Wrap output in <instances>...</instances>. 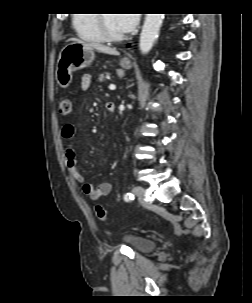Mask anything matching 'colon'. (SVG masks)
<instances>
[{"label":"colon","instance_id":"1","mask_svg":"<svg viewBox=\"0 0 252 303\" xmlns=\"http://www.w3.org/2000/svg\"><path fill=\"white\" fill-rule=\"evenodd\" d=\"M72 101L67 98V97H63L61 100H60V103H59V110H60V113L64 116H67L69 115L71 112H72ZM95 212H96V215H97V218L99 220H102V221H105L106 218H107V212L105 210V208L101 205H96L95 207Z\"/></svg>","mask_w":252,"mask_h":303}]
</instances>
